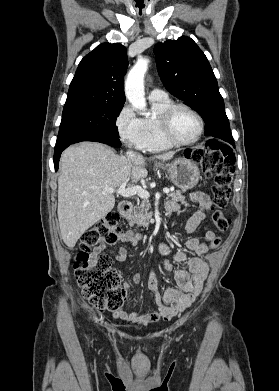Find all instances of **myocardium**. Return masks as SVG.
<instances>
[{
	"label": "myocardium",
	"mask_w": 279,
	"mask_h": 391,
	"mask_svg": "<svg viewBox=\"0 0 279 391\" xmlns=\"http://www.w3.org/2000/svg\"><path fill=\"white\" fill-rule=\"evenodd\" d=\"M178 109H186L189 112H191L197 119L199 123V130L195 138L189 141H179L175 138L173 134V128H172V121L175 112ZM160 125L162 129V133L164 138L168 143H170L173 146L176 147H184V146H189L193 145L196 142H198L203 135L204 132V120L200 113L194 109L192 106L185 104V103H172L161 115H160Z\"/></svg>",
	"instance_id": "f54148a6"
}]
</instances>
